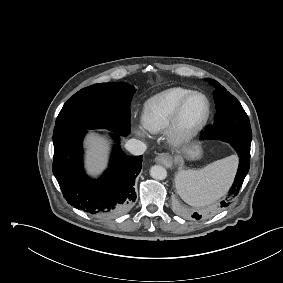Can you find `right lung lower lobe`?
Listing matches in <instances>:
<instances>
[{
	"label": "right lung lower lobe",
	"mask_w": 283,
	"mask_h": 283,
	"mask_svg": "<svg viewBox=\"0 0 283 283\" xmlns=\"http://www.w3.org/2000/svg\"><path fill=\"white\" fill-rule=\"evenodd\" d=\"M85 133L77 132L54 146L53 174L64 198L73 207L102 217L121 214L136 199L133 185L142 167V156H127L116 146L109 168L99 180H92L83 170ZM119 135L112 134L116 140Z\"/></svg>",
	"instance_id": "obj_1"
}]
</instances>
